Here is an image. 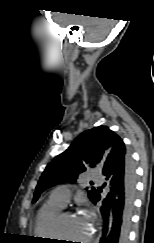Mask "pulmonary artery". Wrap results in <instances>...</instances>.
I'll list each match as a JSON object with an SVG mask.
<instances>
[{"label":"pulmonary artery","mask_w":154,"mask_h":243,"mask_svg":"<svg viewBox=\"0 0 154 243\" xmlns=\"http://www.w3.org/2000/svg\"><path fill=\"white\" fill-rule=\"evenodd\" d=\"M89 179L101 183V178L94 173L89 174ZM71 198V190L68 186L62 185L56 187L50 194L49 200L60 205L61 207H65Z\"/></svg>","instance_id":"pulmonary-artery-1"}]
</instances>
